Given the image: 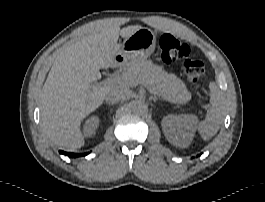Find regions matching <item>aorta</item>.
I'll list each match as a JSON object with an SVG mask.
<instances>
[{
	"label": "aorta",
	"mask_w": 265,
	"mask_h": 202,
	"mask_svg": "<svg viewBox=\"0 0 265 202\" xmlns=\"http://www.w3.org/2000/svg\"><path fill=\"white\" fill-rule=\"evenodd\" d=\"M132 111L137 114H145L148 111V106L143 101H135L132 104Z\"/></svg>",
	"instance_id": "aorta-1"
}]
</instances>
